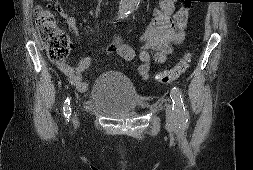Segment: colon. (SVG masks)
Instances as JSON below:
<instances>
[{"instance_id": "obj_1", "label": "colon", "mask_w": 253, "mask_h": 170, "mask_svg": "<svg viewBox=\"0 0 253 170\" xmlns=\"http://www.w3.org/2000/svg\"><path fill=\"white\" fill-rule=\"evenodd\" d=\"M194 0H184V3L176 13L179 22L186 23ZM50 6H38L36 8V27L45 46L46 53L52 61H63L71 50L69 36L57 27L55 17L50 11ZM189 56H184L173 68L160 72L156 80L160 83H171L177 80L188 68Z\"/></svg>"}]
</instances>
